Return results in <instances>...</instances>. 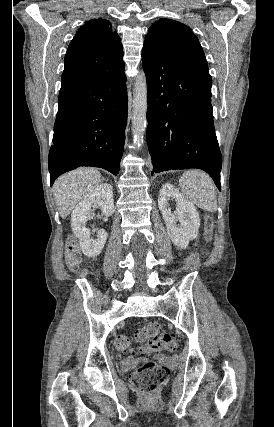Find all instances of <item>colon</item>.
<instances>
[{
    "label": "colon",
    "mask_w": 274,
    "mask_h": 427,
    "mask_svg": "<svg viewBox=\"0 0 274 427\" xmlns=\"http://www.w3.org/2000/svg\"><path fill=\"white\" fill-rule=\"evenodd\" d=\"M212 222L206 223V238L211 237ZM65 262L68 269L75 271L80 266L77 256L75 241L69 240L65 246ZM136 344H148L152 349L160 348L166 351H174L176 341L173 336L164 332L156 322H149L139 327L131 335L121 334L115 338V346L120 353L128 351ZM168 376L166 367L157 365L151 360H145L132 373V385L138 389L140 395H158L159 389H163Z\"/></svg>",
    "instance_id": "5ec220e1"
}]
</instances>
